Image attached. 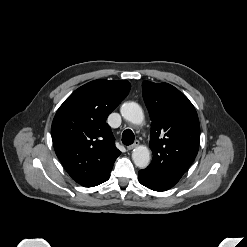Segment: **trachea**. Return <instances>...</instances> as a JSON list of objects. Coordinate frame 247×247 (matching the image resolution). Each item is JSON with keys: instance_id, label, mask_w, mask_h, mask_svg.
I'll list each match as a JSON object with an SVG mask.
<instances>
[{"instance_id": "trachea-1", "label": "trachea", "mask_w": 247, "mask_h": 247, "mask_svg": "<svg viewBox=\"0 0 247 247\" xmlns=\"http://www.w3.org/2000/svg\"><path fill=\"white\" fill-rule=\"evenodd\" d=\"M134 142V133L130 129L124 130L122 134V143L124 145H131Z\"/></svg>"}]
</instances>
